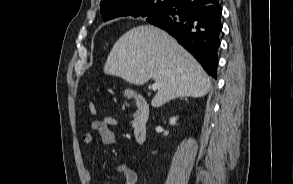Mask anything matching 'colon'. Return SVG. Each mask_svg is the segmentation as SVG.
<instances>
[{
  "mask_svg": "<svg viewBox=\"0 0 293 184\" xmlns=\"http://www.w3.org/2000/svg\"><path fill=\"white\" fill-rule=\"evenodd\" d=\"M89 111L93 115L96 114V107H95L94 103H92V102L89 104Z\"/></svg>",
  "mask_w": 293,
  "mask_h": 184,
  "instance_id": "colon-1",
  "label": "colon"
}]
</instances>
